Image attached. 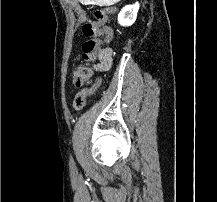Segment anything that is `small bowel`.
Returning <instances> with one entry per match:
<instances>
[{"instance_id": "small-bowel-1", "label": "small bowel", "mask_w": 217, "mask_h": 202, "mask_svg": "<svg viewBox=\"0 0 217 202\" xmlns=\"http://www.w3.org/2000/svg\"><path fill=\"white\" fill-rule=\"evenodd\" d=\"M100 43V42H99ZM103 68L108 69L112 65V50L110 48L99 49L96 53Z\"/></svg>"}]
</instances>
